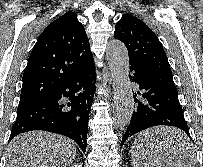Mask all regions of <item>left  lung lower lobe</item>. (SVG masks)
Returning <instances> with one entry per match:
<instances>
[{"mask_svg": "<svg viewBox=\"0 0 203 167\" xmlns=\"http://www.w3.org/2000/svg\"><path fill=\"white\" fill-rule=\"evenodd\" d=\"M130 71V80L138 84L140 91L133 93L136 105L121 146L128 137L157 125L180 128L190 137L173 80L159 77L138 64H131ZM190 139L192 140L191 137ZM177 147L181 151L187 150V153H192L186 144L180 143Z\"/></svg>", "mask_w": 203, "mask_h": 167, "instance_id": "1", "label": "left lung lower lobe"}]
</instances>
